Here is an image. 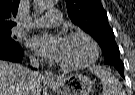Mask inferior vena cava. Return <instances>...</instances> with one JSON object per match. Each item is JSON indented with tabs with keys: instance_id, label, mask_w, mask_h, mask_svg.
<instances>
[{
	"instance_id": "1",
	"label": "inferior vena cava",
	"mask_w": 135,
	"mask_h": 95,
	"mask_svg": "<svg viewBox=\"0 0 135 95\" xmlns=\"http://www.w3.org/2000/svg\"><path fill=\"white\" fill-rule=\"evenodd\" d=\"M30 65L33 68H38L39 67V62L38 60H36V58L34 57H30ZM27 75V80L30 84H32L36 78V76H38V72H36L35 70L29 69L26 72ZM27 95H30L29 93Z\"/></svg>"
}]
</instances>
